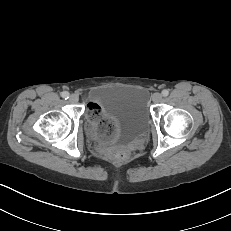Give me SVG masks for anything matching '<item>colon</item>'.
Instances as JSON below:
<instances>
[{"mask_svg": "<svg viewBox=\"0 0 231 231\" xmlns=\"http://www.w3.org/2000/svg\"><path fill=\"white\" fill-rule=\"evenodd\" d=\"M88 115L90 118H96L100 122L101 129L104 133H109L112 129V123L102 118L101 108L91 103L88 108ZM109 155L116 161H124L127 157V152L120 146H111L108 149Z\"/></svg>", "mask_w": 231, "mask_h": 231, "instance_id": "1", "label": "colon"}]
</instances>
